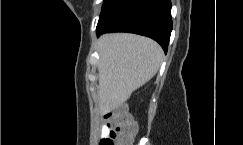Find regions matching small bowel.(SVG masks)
<instances>
[{"instance_id": "c3829d8e", "label": "small bowel", "mask_w": 243, "mask_h": 145, "mask_svg": "<svg viewBox=\"0 0 243 145\" xmlns=\"http://www.w3.org/2000/svg\"><path fill=\"white\" fill-rule=\"evenodd\" d=\"M110 127L107 125H103L101 128V138L106 137L109 134Z\"/></svg>"}]
</instances>
